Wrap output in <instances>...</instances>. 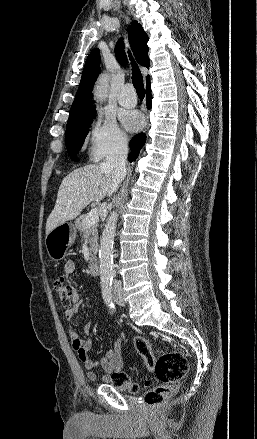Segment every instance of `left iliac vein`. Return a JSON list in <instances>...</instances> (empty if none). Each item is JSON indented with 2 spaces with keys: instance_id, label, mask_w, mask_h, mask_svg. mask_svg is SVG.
Masks as SVG:
<instances>
[{
  "instance_id": "left-iliac-vein-1",
  "label": "left iliac vein",
  "mask_w": 257,
  "mask_h": 439,
  "mask_svg": "<svg viewBox=\"0 0 257 439\" xmlns=\"http://www.w3.org/2000/svg\"><path fill=\"white\" fill-rule=\"evenodd\" d=\"M113 298L117 304H119V305L124 304V300H123L122 294L120 292H114Z\"/></svg>"
}]
</instances>
